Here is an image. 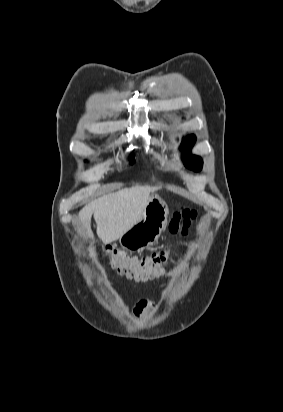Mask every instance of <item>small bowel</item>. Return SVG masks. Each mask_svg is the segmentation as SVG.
I'll return each mask as SVG.
<instances>
[{"label":"small bowel","instance_id":"small-bowel-1","mask_svg":"<svg viewBox=\"0 0 283 412\" xmlns=\"http://www.w3.org/2000/svg\"><path fill=\"white\" fill-rule=\"evenodd\" d=\"M155 307V304L153 301L149 299H141L139 300L135 307L132 310V315L134 317H140L141 315L148 313Z\"/></svg>","mask_w":283,"mask_h":412}]
</instances>
